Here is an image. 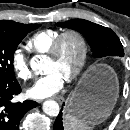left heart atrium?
Returning <instances> with one entry per match:
<instances>
[{
  "label": "left heart atrium",
  "mask_w": 130,
  "mask_h": 130,
  "mask_svg": "<svg viewBox=\"0 0 130 130\" xmlns=\"http://www.w3.org/2000/svg\"><path fill=\"white\" fill-rule=\"evenodd\" d=\"M65 82V77L57 70H51L46 75L38 78L35 83L28 88V95L33 99H45L53 96L61 90Z\"/></svg>",
  "instance_id": "obj_1"
}]
</instances>
